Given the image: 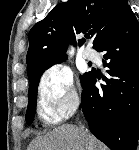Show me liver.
<instances>
[{"mask_svg": "<svg viewBox=\"0 0 139 150\" xmlns=\"http://www.w3.org/2000/svg\"><path fill=\"white\" fill-rule=\"evenodd\" d=\"M28 150H106L92 134L73 125L59 126L31 142Z\"/></svg>", "mask_w": 139, "mask_h": 150, "instance_id": "1", "label": "liver"}]
</instances>
